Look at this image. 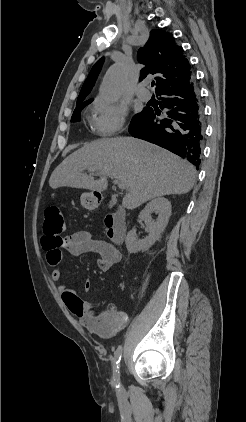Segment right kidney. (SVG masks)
I'll use <instances>...</instances> for the list:
<instances>
[{"label":"right kidney","mask_w":246,"mask_h":422,"mask_svg":"<svg viewBox=\"0 0 246 422\" xmlns=\"http://www.w3.org/2000/svg\"><path fill=\"white\" fill-rule=\"evenodd\" d=\"M158 212L156 221L152 220V212ZM171 216V203L168 199L158 197L149 202L140 212L139 218L146 220V232L148 236L142 240H137L135 230H130L126 236V248L129 253H137L147 251L152 245L159 240L162 232L168 224Z\"/></svg>","instance_id":"obj_1"}]
</instances>
